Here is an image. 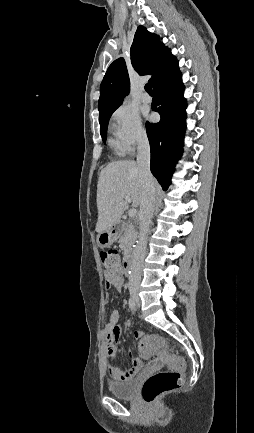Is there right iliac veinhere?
<instances>
[{
  "label": "right iliac vein",
  "mask_w": 254,
  "mask_h": 433,
  "mask_svg": "<svg viewBox=\"0 0 254 433\" xmlns=\"http://www.w3.org/2000/svg\"><path fill=\"white\" fill-rule=\"evenodd\" d=\"M131 294L134 298H137V291H133Z\"/></svg>",
  "instance_id": "1"
}]
</instances>
